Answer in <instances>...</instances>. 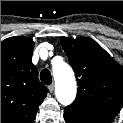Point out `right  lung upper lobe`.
<instances>
[{
  "label": "right lung upper lobe",
  "mask_w": 123,
  "mask_h": 123,
  "mask_svg": "<svg viewBox=\"0 0 123 123\" xmlns=\"http://www.w3.org/2000/svg\"><path fill=\"white\" fill-rule=\"evenodd\" d=\"M33 40L14 36L1 42V123H32L47 88L32 64Z\"/></svg>",
  "instance_id": "cb5924a9"
}]
</instances>
